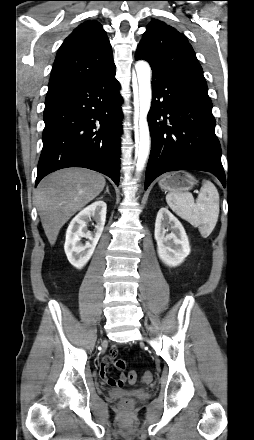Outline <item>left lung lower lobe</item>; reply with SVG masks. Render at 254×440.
<instances>
[{"label": "left lung lower lobe", "mask_w": 254, "mask_h": 440, "mask_svg": "<svg viewBox=\"0 0 254 440\" xmlns=\"http://www.w3.org/2000/svg\"><path fill=\"white\" fill-rule=\"evenodd\" d=\"M152 104L148 113L151 152L145 189L168 171L202 170L225 185L221 147L208 94L185 79L151 64Z\"/></svg>", "instance_id": "obj_1"}]
</instances>
